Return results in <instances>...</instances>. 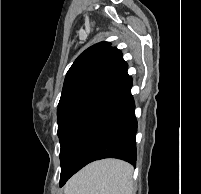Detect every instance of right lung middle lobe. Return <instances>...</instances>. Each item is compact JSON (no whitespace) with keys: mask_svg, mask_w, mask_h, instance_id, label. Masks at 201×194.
<instances>
[{"mask_svg":"<svg viewBox=\"0 0 201 194\" xmlns=\"http://www.w3.org/2000/svg\"><path fill=\"white\" fill-rule=\"evenodd\" d=\"M91 100L90 98L77 99L58 107V136L60 142L75 115Z\"/></svg>","mask_w":201,"mask_h":194,"instance_id":"1","label":"right lung middle lobe"}]
</instances>
